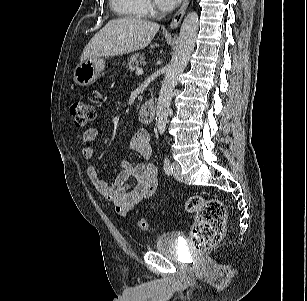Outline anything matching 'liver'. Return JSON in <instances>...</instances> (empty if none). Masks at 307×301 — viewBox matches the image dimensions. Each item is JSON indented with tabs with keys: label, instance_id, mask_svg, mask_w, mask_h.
I'll list each match as a JSON object with an SVG mask.
<instances>
[{
	"label": "liver",
	"instance_id": "6515ba94",
	"mask_svg": "<svg viewBox=\"0 0 307 301\" xmlns=\"http://www.w3.org/2000/svg\"><path fill=\"white\" fill-rule=\"evenodd\" d=\"M159 28L155 22L134 17L112 19L85 46L80 61L144 49Z\"/></svg>",
	"mask_w": 307,
	"mask_h": 301
}]
</instances>
